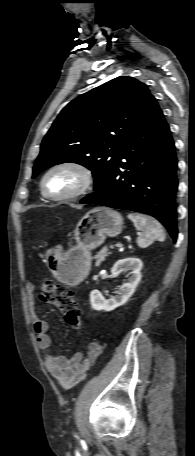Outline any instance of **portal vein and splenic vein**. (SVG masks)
Returning <instances> with one entry per match:
<instances>
[{
  "label": "portal vein and splenic vein",
  "mask_w": 195,
  "mask_h": 456,
  "mask_svg": "<svg viewBox=\"0 0 195 456\" xmlns=\"http://www.w3.org/2000/svg\"><path fill=\"white\" fill-rule=\"evenodd\" d=\"M109 247H110L111 249H113V248L116 247V245H115V244H111Z\"/></svg>",
  "instance_id": "portal-vein-and-splenic-vein-1"
}]
</instances>
